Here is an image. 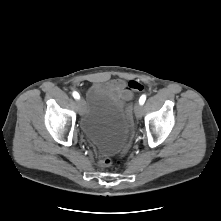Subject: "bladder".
<instances>
[{
    "label": "bladder",
    "mask_w": 221,
    "mask_h": 221,
    "mask_svg": "<svg viewBox=\"0 0 221 221\" xmlns=\"http://www.w3.org/2000/svg\"><path fill=\"white\" fill-rule=\"evenodd\" d=\"M82 134L102 153H118L129 137L130 112L103 85L93 83L83 99Z\"/></svg>",
    "instance_id": "obj_1"
}]
</instances>
